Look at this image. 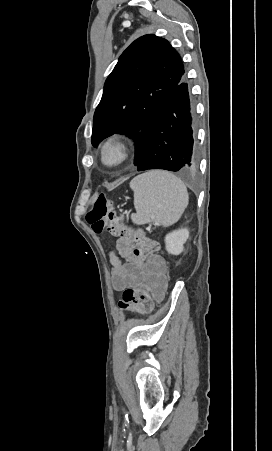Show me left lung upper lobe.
Segmentation results:
<instances>
[{
    "label": "left lung upper lobe",
    "mask_w": 272,
    "mask_h": 451,
    "mask_svg": "<svg viewBox=\"0 0 272 451\" xmlns=\"http://www.w3.org/2000/svg\"><path fill=\"white\" fill-rule=\"evenodd\" d=\"M184 72L179 54L167 40L151 34L135 40L105 82L94 114L92 145L114 133L128 134L137 143V166L161 110Z\"/></svg>",
    "instance_id": "obj_1"
}]
</instances>
